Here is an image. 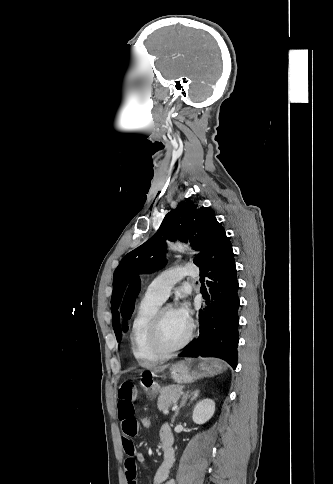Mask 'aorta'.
<instances>
[{
  "instance_id": "762f6f07",
  "label": "aorta",
  "mask_w": 333,
  "mask_h": 484,
  "mask_svg": "<svg viewBox=\"0 0 333 484\" xmlns=\"http://www.w3.org/2000/svg\"><path fill=\"white\" fill-rule=\"evenodd\" d=\"M184 247L182 245H176L173 247L175 250H182Z\"/></svg>"
}]
</instances>
